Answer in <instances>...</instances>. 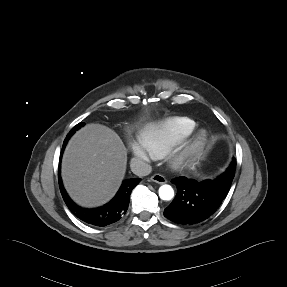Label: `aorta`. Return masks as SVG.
I'll use <instances>...</instances> for the list:
<instances>
[{
    "label": "aorta",
    "instance_id": "1",
    "mask_svg": "<svg viewBox=\"0 0 287 287\" xmlns=\"http://www.w3.org/2000/svg\"><path fill=\"white\" fill-rule=\"evenodd\" d=\"M159 197L162 200L169 201L174 197V190L170 185L164 184L162 185L159 190Z\"/></svg>",
    "mask_w": 287,
    "mask_h": 287
}]
</instances>
